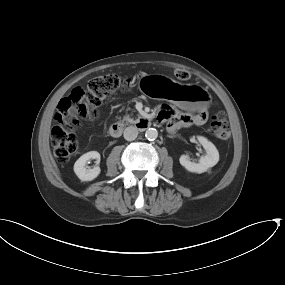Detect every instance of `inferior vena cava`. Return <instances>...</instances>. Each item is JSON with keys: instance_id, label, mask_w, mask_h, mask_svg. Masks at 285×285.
<instances>
[{"instance_id": "obj_1", "label": "inferior vena cava", "mask_w": 285, "mask_h": 285, "mask_svg": "<svg viewBox=\"0 0 285 285\" xmlns=\"http://www.w3.org/2000/svg\"><path fill=\"white\" fill-rule=\"evenodd\" d=\"M138 136V130L134 126H128L124 130V138L128 141L135 140Z\"/></svg>"}]
</instances>
